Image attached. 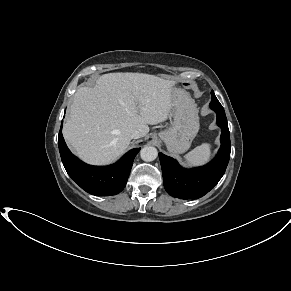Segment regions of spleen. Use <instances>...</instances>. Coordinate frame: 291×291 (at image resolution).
<instances>
[{
    "label": "spleen",
    "mask_w": 291,
    "mask_h": 291,
    "mask_svg": "<svg viewBox=\"0 0 291 291\" xmlns=\"http://www.w3.org/2000/svg\"><path fill=\"white\" fill-rule=\"evenodd\" d=\"M211 157V145L209 143H203L197 146L192 151L184 156L186 162L191 166L203 165Z\"/></svg>",
    "instance_id": "1"
}]
</instances>
